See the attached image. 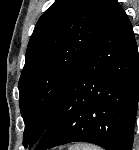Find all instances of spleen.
<instances>
[{"instance_id":"spleen-1","label":"spleen","mask_w":139,"mask_h":150,"mask_svg":"<svg viewBox=\"0 0 139 150\" xmlns=\"http://www.w3.org/2000/svg\"><path fill=\"white\" fill-rule=\"evenodd\" d=\"M70 150H102V149L93 145L79 144L71 147Z\"/></svg>"}]
</instances>
